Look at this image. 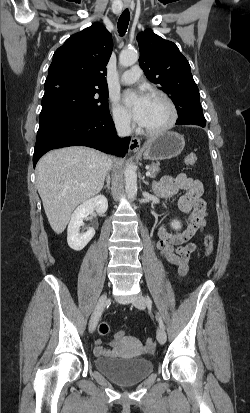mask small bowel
Here are the masks:
<instances>
[{
    "label": "small bowel",
    "mask_w": 250,
    "mask_h": 413,
    "mask_svg": "<svg viewBox=\"0 0 250 413\" xmlns=\"http://www.w3.org/2000/svg\"><path fill=\"white\" fill-rule=\"evenodd\" d=\"M155 194L163 200H168L179 191L184 194L179 198V209L188 213L187 228L180 233H169L164 227L158 230V241L156 247L164 260L178 267L179 276H185L189 270L192 255L196 252L197 246L190 240L205 228L206 205L201 198L203 193L202 183L195 178L184 173L175 176H164L153 185ZM112 348L107 349L101 346V341H97L94 349L96 356H117L123 354V345H130L137 354L144 352L141 341L135 337H127L119 342L111 341Z\"/></svg>",
    "instance_id": "1"
}]
</instances>
